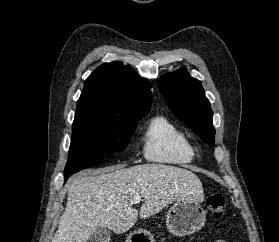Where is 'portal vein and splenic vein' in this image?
Listing matches in <instances>:
<instances>
[{
    "mask_svg": "<svg viewBox=\"0 0 279 242\" xmlns=\"http://www.w3.org/2000/svg\"><path fill=\"white\" fill-rule=\"evenodd\" d=\"M142 200L140 195H136L133 197V203H139Z\"/></svg>",
    "mask_w": 279,
    "mask_h": 242,
    "instance_id": "portal-vein-and-splenic-vein-1",
    "label": "portal vein and splenic vein"
}]
</instances>
